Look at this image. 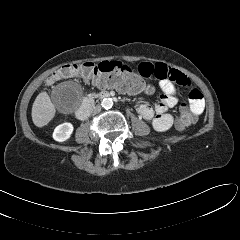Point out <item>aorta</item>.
Returning a JSON list of instances; mask_svg holds the SVG:
<instances>
[{
	"instance_id": "obj_1",
	"label": "aorta",
	"mask_w": 240,
	"mask_h": 240,
	"mask_svg": "<svg viewBox=\"0 0 240 240\" xmlns=\"http://www.w3.org/2000/svg\"><path fill=\"white\" fill-rule=\"evenodd\" d=\"M101 106L105 109H110L113 106V99L112 98H104L101 101Z\"/></svg>"
}]
</instances>
